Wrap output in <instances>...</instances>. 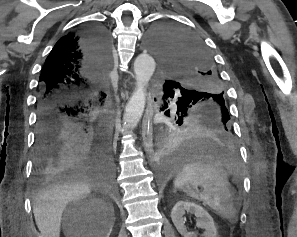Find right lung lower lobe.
Returning a JSON list of instances; mask_svg holds the SVG:
<instances>
[{
    "mask_svg": "<svg viewBox=\"0 0 297 237\" xmlns=\"http://www.w3.org/2000/svg\"><path fill=\"white\" fill-rule=\"evenodd\" d=\"M83 45L92 67L108 68L110 37L100 25L86 26ZM100 90L78 102L39 101L37 108L34 178L37 182L73 173L111 176V144L104 129Z\"/></svg>",
    "mask_w": 297,
    "mask_h": 237,
    "instance_id": "right-lung-lower-lobe-1",
    "label": "right lung lower lobe"
}]
</instances>
